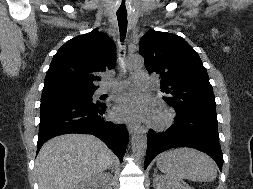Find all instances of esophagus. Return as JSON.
I'll list each match as a JSON object with an SVG mask.
<instances>
[{
	"label": "esophagus",
	"mask_w": 253,
	"mask_h": 189,
	"mask_svg": "<svg viewBox=\"0 0 253 189\" xmlns=\"http://www.w3.org/2000/svg\"><path fill=\"white\" fill-rule=\"evenodd\" d=\"M137 126L133 124H128L127 129L130 134H132L136 130Z\"/></svg>",
	"instance_id": "obj_1"
}]
</instances>
